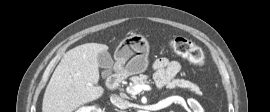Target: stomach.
Instances as JSON below:
<instances>
[{"instance_id": "0dacf381", "label": "stomach", "mask_w": 270, "mask_h": 112, "mask_svg": "<svg viewBox=\"0 0 270 112\" xmlns=\"http://www.w3.org/2000/svg\"><path fill=\"white\" fill-rule=\"evenodd\" d=\"M149 44L141 34L126 36L115 51L119 67L126 73L145 72L149 65Z\"/></svg>"}]
</instances>
